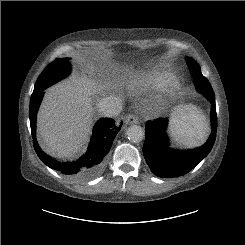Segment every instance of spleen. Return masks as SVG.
Instances as JSON below:
<instances>
[{"instance_id": "3e777b00", "label": "spleen", "mask_w": 245, "mask_h": 245, "mask_svg": "<svg viewBox=\"0 0 245 245\" xmlns=\"http://www.w3.org/2000/svg\"><path fill=\"white\" fill-rule=\"evenodd\" d=\"M170 133L179 144L197 147L205 143L209 126L205 115L193 105L183 106V111L171 120Z\"/></svg>"}]
</instances>
